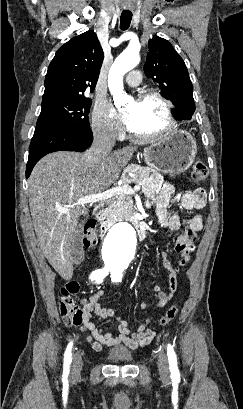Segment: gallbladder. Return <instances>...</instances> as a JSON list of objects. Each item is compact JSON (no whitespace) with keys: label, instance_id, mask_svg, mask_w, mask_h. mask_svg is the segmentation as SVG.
<instances>
[{"label":"gallbladder","instance_id":"gallbladder-1","mask_svg":"<svg viewBox=\"0 0 243 409\" xmlns=\"http://www.w3.org/2000/svg\"><path fill=\"white\" fill-rule=\"evenodd\" d=\"M71 256L75 264L81 263L84 257L82 238L79 230L71 246Z\"/></svg>","mask_w":243,"mask_h":409}]
</instances>
